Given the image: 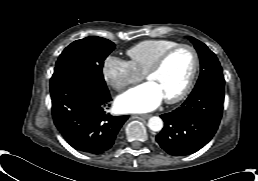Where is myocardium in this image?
I'll return each mask as SVG.
<instances>
[{
  "label": "myocardium",
  "instance_id": "f54148a6",
  "mask_svg": "<svg viewBox=\"0 0 258 181\" xmlns=\"http://www.w3.org/2000/svg\"><path fill=\"white\" fill-rule=\"evenodd\" d=\"M180 49H188L191 52V54L193 56V67H192L189 79H188L186 85L184 86V88L176 96L165 98V102L168 104H174V103L180 102L191 91L193 84L195 82L198 70H199V65H200V59H199V55H198L196 49L192 45H189V44H185V43L177 44V45L167 49L166 51H164L156 59V61L151 65V67L148 69V71L145 74V78L148 79L151 75L159 72L162 69V67L164 66L167 59L172 54H174L176 51H178Z\"/></svg>",
  "mask_w": 258,
  "mask_h": 181
}]
</instances>
